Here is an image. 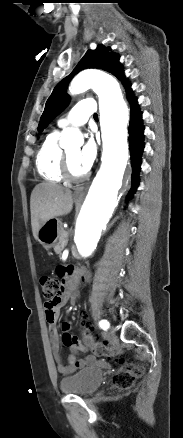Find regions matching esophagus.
<instances>
[{"instance_id":"1","label":"esophagus","mask_w":183,"mask_h":438,"mask_svg":"<svg viewBox=\"0 0 183 438\" xmlns=\"http://www.w3.org/2000/svg\"><path fill=\"white\" fill-rule=\"evenodd\" d=\"M85 191H86V185H81L75 189V194L77 196H82L84 195Z\"/></svg>"}]
</instances>
